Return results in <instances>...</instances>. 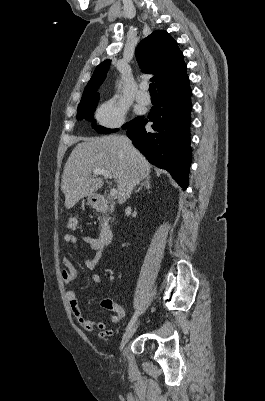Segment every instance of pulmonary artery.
<instances>
[{"label": "pulmonary artery", "mask_w": 265, "mask_h": 401, "mask_svg": "<svg viewBox=\"0 0 265 401\" xmlns=\"http://www.w3.org/2000/svg\"><path fill=\"white\" fill-rule=\"evenodd\" d=\"M145 84H146V82L142 81L139 84V86H143ZM136 96H137L136 97L137 101L140 102V103H143V104L147 105V104H149L151 102V98H150L149 95H147L145 90H138L137 93H136Z\"/></svg>", "instance_id": "obj_1"}]
</instances>
